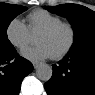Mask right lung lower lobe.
Wrapping results in <instances>:
<instances>
[{"instance_id": "right-lung-lower-lobe-1", "label": "right lung lower lobe", "mask_w": 95, "mask_h": 95, "mask_svg": "<svg viewBox=\"0 0 95 95\" xmlns=\"http://www.w3.org/2000/svg\"><path fill=\"white\" fill-rule=\"evenodd\" d=\"M32 70L31 62L18 56L14 47L0 51V95H18L23 78Z\"/></svg>"}]
</instances>
